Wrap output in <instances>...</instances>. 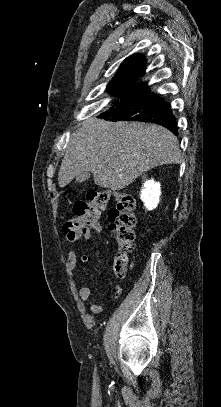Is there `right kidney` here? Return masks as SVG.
<instances>
[{
	"label": "right kidney",
	"instance_id": "obj_1",
	"mask_svg": "<svg viewBox=\"0 0 221 407\" xmlns=\"http://www.w3.org/2000/svg\"><path fill=\"white\" fill-rule=\"evenodd\" d=\"M161 195V185L154 179L147 180L141 189L140 198L147 210H153L158 206Z\"/></svg>",
	"mask_w": 221,
	"mask_h": 407
}]
</instances>
